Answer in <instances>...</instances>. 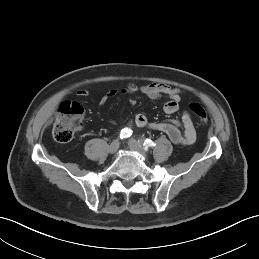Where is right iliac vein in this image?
Here are the masks:
<instances>
[{
	"instance_id": "1",
	"label": "right iliac vein",
	"mask_w": 259,
	"mask_h": 259,
	"mask_svg": "<svg viewBox=\"0 0 259 259\" xmlns=\"http://www.w3.org/2000/svg\"><path fill=\"white\" fill-rule=\"evenodd\" d=\"M119 145H120L119 140H117V139L114 140V141L110 144V146H109V149H108L109 153H110V154H114V153L118 150Z\"/></svg>"
}]
</instances>
